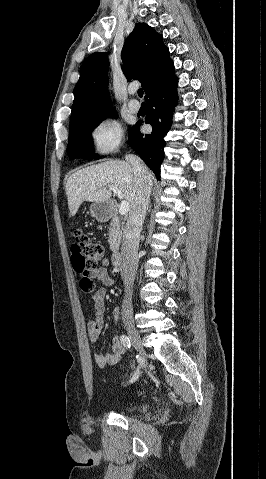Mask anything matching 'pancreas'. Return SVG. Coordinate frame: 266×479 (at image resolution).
Wrapping results in <instances>:
<instances>
[{
    "label": "pancreas",
    "instance_id": "pancreas-1",
    "mask_svg": "<svg viewBox=\"0 0 266 479\" xmlns=\"http://www.w3.org/2000/svg\"><path fill=\"white\" fill-rule=\"evenodd\" d=\"M122 238V226L118 216H114L111 222V227L109 228V246L110 250L113 253H117L119 250V245Z\"/></svg>",
    "mask_w": 266,
    "mask_h": 479
}]
</instances>
